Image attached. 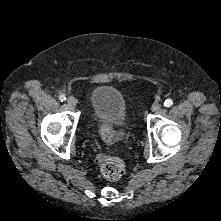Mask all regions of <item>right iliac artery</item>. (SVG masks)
I'll use <instances>...</instances> for the list:
<instances>
[{"mask_svg": "<svg viewBox=\"0 0 221 221\" xmlns=\"http://www.w3.org/2000/svg\"><path fill=\"white\" fill-rule=\"evenodd\" d=\"M59 100H60L61 102L65 101V100H66V96H65L64 94H60V95H59Z\"/></svg>", "mask_w": 221, "mask_h": 221, "instance_id": "1", "label": "right iliac artery"}]
</instances>
